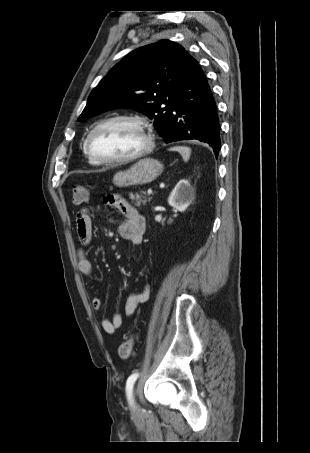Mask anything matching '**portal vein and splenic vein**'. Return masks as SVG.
<instances>
[{"label":"portal vein and splenic vein","mask_w":310,"mask_h":453,"mask_svg":"<svg viewBox=\"0 0 310 453\" xmlns=\"http://www.w3.org/2000/svg\"><path fill=\"white\" fill-rule=\"evenodd\" d=\"M147 193L148 195H151L153 193L152 189H148Z\"/></svg>","instance_id":"1"}]
</instances>
